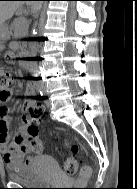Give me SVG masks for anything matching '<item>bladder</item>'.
I'll list each match as a JSON object with an SVG mask.
<instances>
[{"label": "bladder", "instance_id": "bladder-1", "mask_svg": "<svg viewBox=\"0 0 137 189\" xmlns=\"http://www.w3.org/2000/svg\"><path fill=\"white\" fill-rule=\"evenodd\" d=\"M8 176L13 182L42 186L59 176V166L52 156L42 155L36 157L33 164L10 170Z\"/></svg>", "mask_w": 137, "mask_h": 189}]
</instances>
